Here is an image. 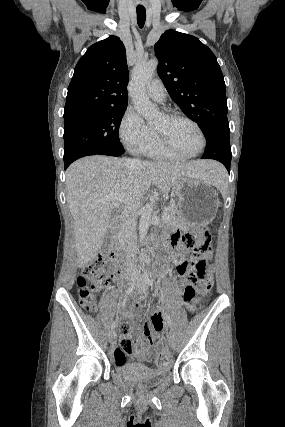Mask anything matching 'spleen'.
I'll use <instances>...</instances> for the list:
<instances>
[{"label": "spleen", "instance_id": "1", "mask_svg": "<svg viewBox=\"0 0 285 427\" xmlns=\"http://www.w3.org/2000/svg\"><path fill=\"white\" fill-rule=\"evenodd\" d=\"M212 184L217 187L221 192H224L227 189V173L222 166L215 170V181Z\"/></svg>", "mask_w": 285, "mask_h": 427}]
</instances>
